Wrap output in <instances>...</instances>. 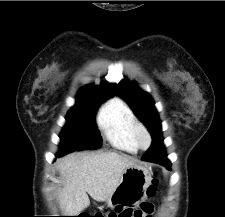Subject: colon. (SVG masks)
Listing matches in <instances>:
<instances>
[{"mask_svg":"<svg viewBox=\"0 0 225 217\" xmlns=\"http://www.w3.org/2000/svg\"><path fill=\"white\" fill-rule=\"evenodd\" d=\"M155 184H156V180L153 179L151 183L147 186L143 194L149 197L153 196L155 192ZM113 215H114L113 211H107L104 213H97L95 216H92V217H113Z\"/></svg>","mask_w":225,"mask_h":217,"instance_id":"obj_1","label":"colon"}]
</instances>
